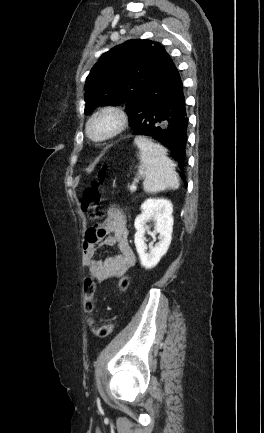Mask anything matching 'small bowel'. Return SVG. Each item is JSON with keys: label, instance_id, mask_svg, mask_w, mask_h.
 I'll use <instances>...</instances> for the list:
<instances>
[{"label": "small bowel", "instance_id": "obj_1", "mask_svg": "<svg viewBox=\"0 0 264 433\" xmlns=\"http://www.w3.org/2000/svg\"><path fill=\"white\" fill-rule=\"evenodd\" d=\"M115 246L117 254L104 260L95 258L99 245ZM136 258L128 240L126 217L117 207H110L106 219L89 228L82 245V264L97 282L124 275Z\"/></svg>", "mask_w": 264, "mask_h": 433}]
</instances>
